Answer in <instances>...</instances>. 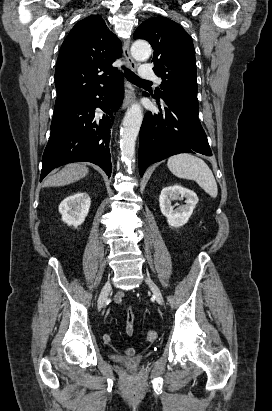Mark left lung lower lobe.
Returning a JSON list of instances; mask_svg holds the SVG:
<instances>
[{
	"instance_id": "0a47b994",
	"label": "left lung lower lobe",
	"mask_w": 272,
	"mask_h": 411,
	"mask_svg": "<svg viewBox=\"0 0 272 411\" xmlns=\"http://www.w3.org/2000/svg\"><path fill=\"white\" fill-rule=\"evenodd\" d=\"M156 98L160 111L148 112L139 134V172L169 156L179 153H201L211 156L212 152L199 118L198 110L168 99Z\"/></svg>"
}]
</instances>
